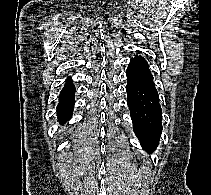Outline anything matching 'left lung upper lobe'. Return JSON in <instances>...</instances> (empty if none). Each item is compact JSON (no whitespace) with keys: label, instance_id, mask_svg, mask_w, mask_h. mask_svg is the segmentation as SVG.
<instances>
[{"label":"left lung upper lobe","instance_id":"5c2ea615","mask_svg":"<svg viewBox=\"0 0 211 195\" xmlns=\"http://www.w3.org/2000/svg\"><path fill=\"white\" fill-rule=\"evenodd\" d=\"M136 58L144 59V58H143V57H141V56H139V57L137 56Z\"/></svg>","mask_w":211,"mask_h":195}]
</instances>
